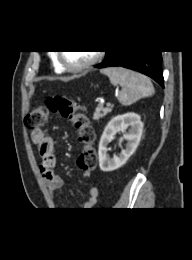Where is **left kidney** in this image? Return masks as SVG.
Wrapping results in <instances>:
<instances>
[{"mask_svg": "<svg viewBox=\"0 0 192 260\" xmlns=\"http://www.w3.org/2000/svg\"><path fill=\"white\" fill-rule=\"evenodd\" d=\"M129 128L128 132L126 130ZM122 131L123 137L127 140L125 149L117 156L110 158L108 155V145L113 140L117 132ZM143 132L141 117L136 113H125L113 117L105 127L99 142V167L104 172H111L123 166L129 157L137 149Z\"/></svg>", "mask_w": 192, "mask_h": 260, "instance_id": "5707ae66", "label": "left kidney"}]
</instances>
